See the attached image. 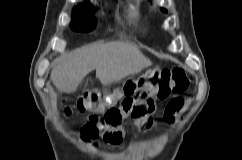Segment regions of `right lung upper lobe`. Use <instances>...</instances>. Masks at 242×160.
<instances>
[{"instance_id":"cb5924a9","label":"right lung upper lobe","mask_w":242,"mask_h":160,"mask_svg":"<svg viewBox=\"0 0 242 160\" xmlns=\"http://www.w3.org/2000/svg\"><path fill=\"white\" fill-rule=\"evenodd\" d=\"M84 5H89V4L88 3H84V4L80 5V6H84Z\"/></svg>"}]
</instances>
